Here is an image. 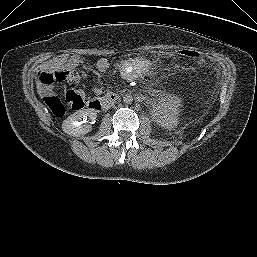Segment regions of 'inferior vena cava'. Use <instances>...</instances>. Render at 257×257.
I'll list each match as a JSON object with an SVG mask.
<instances>
[{
    "mask_svg": "<svg viewBox=\"0 0 257 257\" xmlns=\"http://www.w3.org/2000/svg\"><path fill=\"white\" fill-rule=\"evenodd\" d=\"M114 105V102H106L104 104V109L107 110L109 109L110 107H112Z\"/></svg>",
    "mask_w": 257,
    "mask_h": 257,
    "instance_id": "obj_1",
    "label": "inferior vena cava"
}]
</instances>
